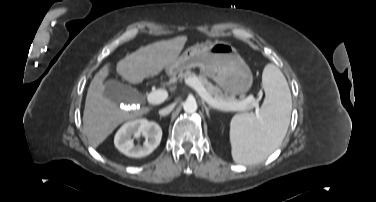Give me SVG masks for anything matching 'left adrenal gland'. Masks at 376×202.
<instances>
[{
	"instance_id": "left-adrenal-gland-1",
	"label": "left adrenal gland",
	"mask_w": 376,
	"mask_h": 202,
	"mask_svg": "<svg viewBox=\"0 0 376 202\" xmlns=\"http://www.w3.org/2000/svg\"><path fill=\"white\" fill-rule=\"evenodd\" d=\"M202 105H203V107H204V109H205V111H206V114H207L208 118H210L209 110L211 109V107H207L206 104H205L204 102L202 103Z\"/></svg>"
}]
</instances>
